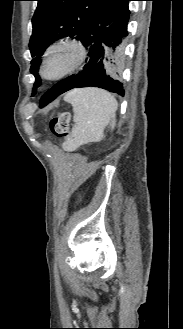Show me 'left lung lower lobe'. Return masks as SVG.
<instances>
[{
    "label": "left lung lower lobe",
    "instance_id": "1",
    "mask_svg": "<svg viewBox=\"0 0 183 329\" xmlns=\"http://www.w3.org/2000/svg\"><path fill=\"white\" fill-rule=\"evenodd\" d=\"M129 1L113 0L95 17L81 40L88 52L85 66L48 90L40 100L41 107L73 88L94 86L124 95L117 75L121 43L127 35Z\"/></svg>",
    "mask_w": 183,
    "mask_h": 329
}]
</instances>
